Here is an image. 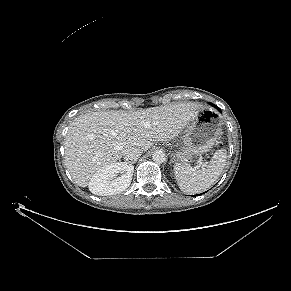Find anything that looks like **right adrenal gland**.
Masks as SVG:
<instances>
[{
    "label": "right adrenal gland",
    "instance_id": "1",
    "mask_svg": "<svg viewBox=\"0 0 291 291\" xmlns=\"http://www.w3.org/2000/svg\"><path fill=\"white\" fill-rule=\"evenodd\" d=\"M132 164L136 163V161L131 162Z\"/></svg>",
    "mask_w": 291,
    "mask_h": 291
}]
</instances>
